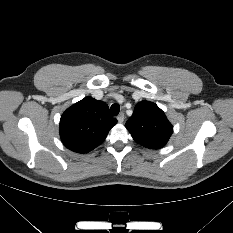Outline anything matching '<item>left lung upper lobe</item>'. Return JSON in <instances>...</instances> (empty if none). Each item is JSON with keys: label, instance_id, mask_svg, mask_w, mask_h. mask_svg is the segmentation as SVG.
Masks as SVG:
<instances>
[{"label": "left lung upper lobe", "instance_id": "obj_1", "mask_svg": "<svg viewBox=\"0 0 233 233\" xmlns=\"http://www.w3.org/2000/svg\"><path fill=\"white\" fill-rule=\"evenodd\" d=\"M125 126L137 143L149 149L162 148L173 133V126L165 113L149 101L136 104Z\"/></svg>", "mask_w": 233, "mask_h": 233}]
</instances>
